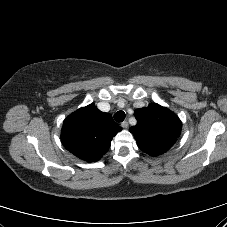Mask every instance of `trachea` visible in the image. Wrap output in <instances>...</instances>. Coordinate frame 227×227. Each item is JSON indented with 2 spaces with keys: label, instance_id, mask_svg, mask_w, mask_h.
Instances as JSON below:
<instances>
[{
  "label": "trachea",
  "instance_id": "trachea-1",
  "mask_svg": "<svg viewBox=\"0 0 227 227\" xmlns=\"http://www.w3.org/2000/svg\"><path fill=\"white\" fill-rule=\"evenodd\" d=\"M125 113L123 111H118L114 114V119L117 122H122L125 119Z\"/></svg>",
  "mask_w": 227,
  "mask_h": 227
}]
</instances>
